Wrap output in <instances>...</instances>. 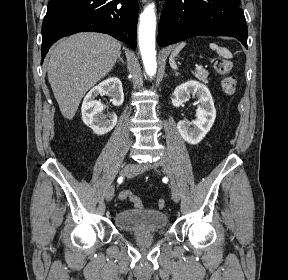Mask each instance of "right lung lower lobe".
<instances>
[{
    "label": "right lung lower lobe",
    "mask_w": 288,
    "mask_h": 280,
    "mask_svg": "<svg viewBox=\"0 0 288 280\" xmlns=\"http://www.w3.org/2000/svg\"><path fill=\"white\" fill-rule=\"evenodd\" d=\"M138 0H51L42 24L41 63L58 39L84 31L109 34L136 48Z\"/></svg>",
    "instance_id": "right-lung-lower-lobe-1"
}]
</instances>
